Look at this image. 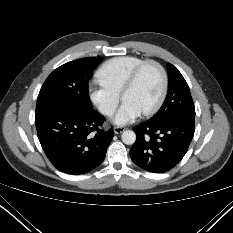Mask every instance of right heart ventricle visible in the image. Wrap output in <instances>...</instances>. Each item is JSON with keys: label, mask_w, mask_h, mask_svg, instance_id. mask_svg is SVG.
<instances>
[{"label": "right heart ventricle", "mask_w": 233, "mask_h": 233, "mask_svg": "<svg viewBox=\"0 0 233 233\" xmlns=\"http://www.w3.org/2000/svg\"><path fill=\"white\" fill-rule=\"evenodd\" d=\"M143 61L136 56L111 58L97 70L96 77L101 83L120 94L131 72Z\"/></svg>", "instance_id": "obj_1"}]
</instances>
